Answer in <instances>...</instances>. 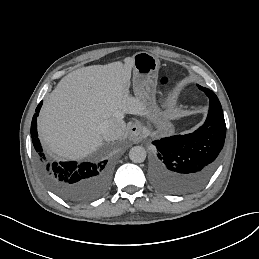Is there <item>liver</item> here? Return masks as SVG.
I'll return each mask as SVG.
<instances>
[{
  "label": "liver",
  "mask_w": 259,
  "mask_h": 259,
  "mask_svg": "<svg viewBox=\"0 0 259 259\" xmlns=\"http://www.w3.org/2000/svg\"><path fill=\"white\" fill-rule=\"evenodd\" d=\"M132 58L72 71L44 101L37 127L39 139L51 154L79 160L103 144L99 125L129 113Z\"/></svg>",
  "instance_id": "6515ba94"
}]
</instances>
